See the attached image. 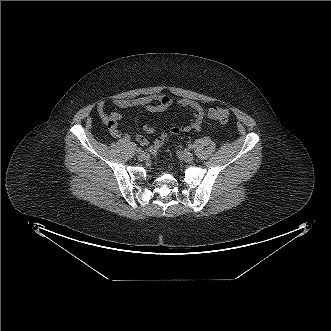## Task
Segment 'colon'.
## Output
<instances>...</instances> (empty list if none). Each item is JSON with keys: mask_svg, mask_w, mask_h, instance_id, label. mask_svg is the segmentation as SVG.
Returning <instances> with one entry per match:
<instances>
[{"mask_svg": "<svg viewBox=\"0 0 331 331\" xmlns=\"http://www.w3.org/2000/svg\"><path fill=\"white\" fill-rule=\"evenodd\" d=\"M206 115L209 118H211L219 123H222V124L227 123L229 120V116H230L228 109L220 107V106H212V107L208 108Z\"/></svg>", "mask_w": 331, "mask_h": 331, "instance_id": "5ec220e1", "label": "colon"}]
</instances>
